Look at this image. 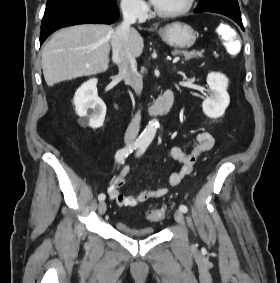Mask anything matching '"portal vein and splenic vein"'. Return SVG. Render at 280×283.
<instances>
[{
  "instance_id": "18ae733b",
  "label": "portal vein and splenic vein",
  "mask_w": 280,
  "mask_h": 283,
  "mask_svg": "<svg viewBox=\"0 0 280 283\" xmlns=\"http://www.w3.org/2000/svg\"><path fill=\"white\" fill-rule=\"evenodd\" d=\"M179 60H180V57H175V58L172 60V63L175 64V63H177Z\"/></svg>"
}]
</instances>
